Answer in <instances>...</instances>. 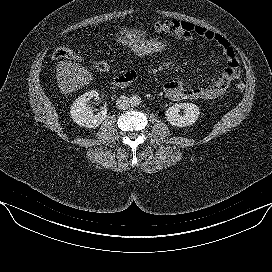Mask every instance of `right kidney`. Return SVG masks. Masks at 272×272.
Wrapping results in <instances>:
<instances>
[{
    "instance_id": "1",
    "label": "right kidney",
    "mask_w": 272,
    "mask_h": 272,
    "mask_svg": "<svg viewBox=\"0 0 272 272\" xmlns=\"http://www.w3.org/2000/svg\"><path fill=\"white\" fill-rule=\"evenodd\" d=\"M99 97L96 90H91L78 97L71 106L70 114L72 120L79 126L86 128H96L106 118V106L102 107L101 111L94 114V110L88 105V102L93 98Z\"/></svg>"
}]
</instances>
